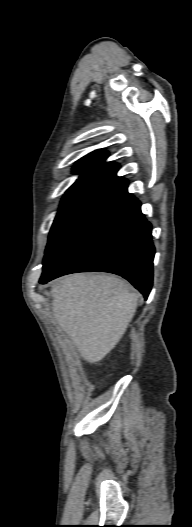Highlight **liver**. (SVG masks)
<instances>
[{
	"mask_svg": "<svg viewBox=\"0 0 192 527\" xmlns=\"http://www.w3.org/2000/svg\"><path fill=\"white\" fill-rule=\"evenodd\" d=\"M130 289L123 279L106 274H73L53 284L54 320L85 361H101L124 335L137 306Z\"/></svg>",
	"mask_w": 192,
	"mask_h": 527,
	"instance_id": "obj_1",
	"label": "liver"
}]
</instances>
